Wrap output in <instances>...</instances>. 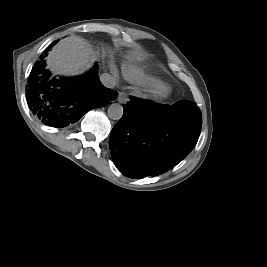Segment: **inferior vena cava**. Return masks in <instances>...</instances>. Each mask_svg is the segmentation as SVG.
<instances>
[{"instance_id": "obj_1", "label": "inferior vena cava", "mask_w": 267, "mask_h": 267, "mask_svg": "<svg viewBox=\"0 0 267 267\" xmlns=\"http://www.w3.org/2000/svg\"><path fill=\"white\" fill-rule=\"evenodd\" d=\"M100 81L107 88H114L116 86V80L108 73H103L100 76Z\"/></svg>"}]
</instances>
